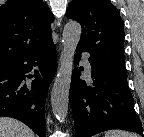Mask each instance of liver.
Masks as SVG:
<instances>
[{"label":"liver","mask_w":144,"mask_h":137,"mask_svg":"<svg viewBox=\"0 0 144 137\" xmlns=\"http://www.w3.org/2000/svg\"><path fill=\"white\" fill-rule=\"evenodd\" d=\"M0 137H35L24 123L9 117H0Z\"/></svg>","instance_id":"1"}]
</instances>
